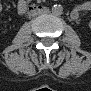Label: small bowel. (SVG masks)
Here are the masks:
<instances>
[{
  "label": "small bowel",
  "mask_w": 91,
  "mask_h": 91,
  "mask_svg": "<svg viewBox=\"0 0 91 91\" xmlns=\"http://www.w3.org/2000/svg\"><path fill=\"white\" fill-rule=\"evenodd\" d=\"M26 6H27V1L26 0H20L18 2L17 8H18L19 11L22 12V11L25 10ZM73 14L75 15L76 12L74 11Z\"/></svg>",
  "instance_id": "obj_1"
}]
</instances>
